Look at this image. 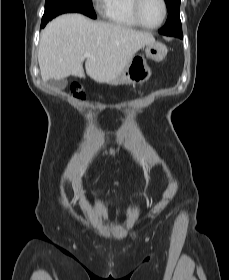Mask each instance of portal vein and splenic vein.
<instances>
[{
    "label": "portal vein and splenic vein",
    "mask_w": 229,
    "mask_h": 280,
    "mask_svg": "<svg viewBox=\"0 0 229 280\" xmlns=\"http://www.w3.org/2000/svg\"><path fill=\"white\" fill-rule=\"evenodd\" d=\"M89 56H90V53H89V52H87V53L84 54V58L89 57Z\"/></svg>",
    "instance_id": "portal-vein-and-splenic-vein-1"
}]
</instances>
